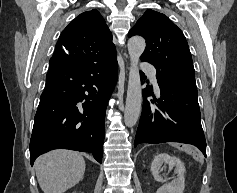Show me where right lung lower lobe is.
Returning a JSON list of instances; mask_svg holds the SVG:
<instances>
[{"mask_svg":"<svg viewBox=\"0 0 237 193\" xmlns=\"http://www.w3.org/2000/svg\"><path fill=\"white\" fill-rule=\"evenodd\" d=\"M117 67L116 57L84 68L49 62L30 140L31 165L59 148L90 152L102 163L105 112Z\"/></svg>","mask_w":237,"mask_h":193,"instance_id":"obj_1","label":"right lung lower lobe"}]
</instances>
